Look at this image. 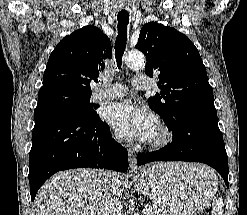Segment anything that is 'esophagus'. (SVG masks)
I'll use <instances>...</instances> for the list:
<instances>
[{
    "label": "esophagus",
    "mask_w": 247,
    "mask_h": 215,
    "mask_svg": "<svg viewBox=\"0 0 247 215\" xmlns=\"http://www.w3.org/2000/svg\"><path fill=\"white\" fill-rule=\"evenodd\" d=\"M129 169L130 172L133 174L138 173L140 171V168L137 166L135 154L131 150L129 151Z\"/></svg>",
    "instance_id": "esophagus-1"
}]
</instances>
